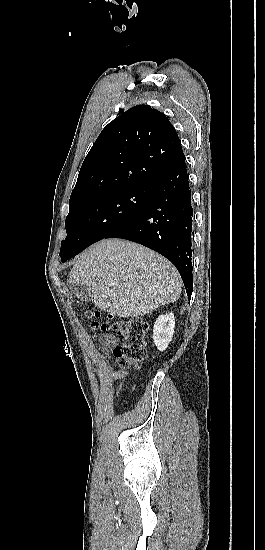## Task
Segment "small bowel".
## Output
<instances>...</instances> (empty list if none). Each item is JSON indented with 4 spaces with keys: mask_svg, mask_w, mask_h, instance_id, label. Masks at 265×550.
Segmentation results:
<instances>
[{
    "mask_svg": "<svg viewBox=\"0 0 265 550\" xmlns=\"http://www.w3.org/2000/svg\"><path fill=\"white\" fill-rule=\"evenodd\" d=\"M117 342H118L117 339L109 335H102L99 337V344L104 349L107 348L108 346L116 344Z\"/></svg>",
    "mask_w": 265,
    "mask_h": 550,
    "instance_id": "obj_1",
    "label": "small bowel"
}]
</instances>
